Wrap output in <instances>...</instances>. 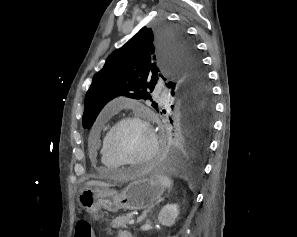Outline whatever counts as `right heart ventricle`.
Segmentation results:
<instances>
[{
  "label": "right heart ventricle",
  "mask_w": 297,
  "mask_h": 237,
  "mask_svg": "<svg viewBox=\"0 0 297 237\" xmlns=\"http://www.w3.org/2000/svg\"><path fill=\"white\" fill-rule=\"evenodd\" d=\"M99 154H100V161L105 168L109 170H117L121 167L119 163L114 158H112V156L109 154L106 148L105 138L102 140Z\"/></svg>",
  "instance_id": "right-heart-ventricle-1"
}]
</instances>
